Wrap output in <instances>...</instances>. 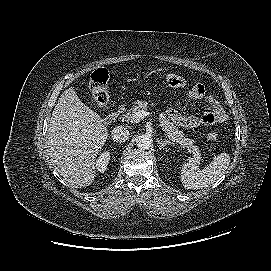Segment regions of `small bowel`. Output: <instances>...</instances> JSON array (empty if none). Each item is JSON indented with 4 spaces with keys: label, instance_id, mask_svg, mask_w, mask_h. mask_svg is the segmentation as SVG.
Wrapping results in <instances>:
<instances>
[{
    "label": "small bowel",
    "instance_id": "c3829d8e",
    "mask_svg": "<svg viewBox=\"0 0 271 271\" xmlns=\"http://www.w3.org/2000/svg\"><path fill=\"white\" fill-rule=\"evenodd\" d=\"M188 96L192 100H203L205 110L200 115H182L175 109L167 111V117L175 124L185 128L198 126H211L226 120V113L221 103L211 95H208L202 84H195L189 90Z\"/></svg>",
    "mask_w": 271,
    "mask_h": 271
}]
</instances>
